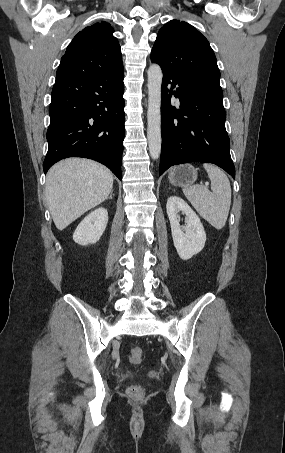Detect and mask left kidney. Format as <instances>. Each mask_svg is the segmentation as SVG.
<instances>
[{
    "label": "left kidney",
    "instance_id": "5707ae66",
    "mask_svg": "<svg viewBox=\"0 0 285 453\" xmlns=\"http://www.w3.org/2000/svg\"><path fill=\"white\" fill-rule=\"evenodd\" d=\"M166 209L177 253L181 259L188 260L204 248L206 241L204 227L197 214L180 197H169ZM179 212L185 215L186 227L184 231L179 223Z\"/></svg>",
    "mask_w": 285,
    "mask_h": 453
}]
</instances>
